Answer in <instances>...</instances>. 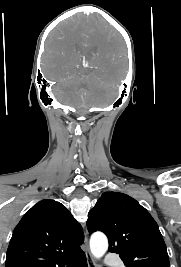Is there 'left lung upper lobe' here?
Returning <instances> with one entry per match:
<instances>
[{
  "label": "left lung upper lobe",
  "mask_w": 181,
  "mask_h": 267,
  "mask_svg": "<svg viewBox=\"0 0 181 267\" xmlns=\"http://www.w3.org/2000/svg\"><path fill=\"white\" fill-rule=\"evenodd\" d=\"M89 233L104 232L109 252L120 254L126 267H170L159 227L148 211L132 197L105 192L89 211Z\"/></svg>",
  "instance_id": "5c2ea615"
}]
</instances>
